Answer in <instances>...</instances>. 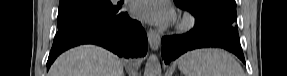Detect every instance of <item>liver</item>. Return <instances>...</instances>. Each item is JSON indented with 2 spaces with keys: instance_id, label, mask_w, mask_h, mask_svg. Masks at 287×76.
Here are the masks:
<instances>
[{
  "instance_id": "6515ba94",
  "label": "liver",
  "mask_w": 287,
  "mask_h": 76,
  "mask_svg": "<svg viewBox=\"0 0 287 76\" xmlns=\"http://www.w3.org/2000/svg\"><path fill=\"white\" fill-rule=\"evenodd\" d=\"M123 68V60L112 52L96 45H81L60 55L48 76H123Z\"/></svg>"
}]
</instances>
